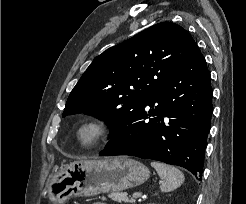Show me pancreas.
Instances as JSON below:
<instances>
[{"instance_id":"cf45deb5","label":"pancreas","mask_w":246,"mask_h":204,"mask_svg":"<svg viewBox=\"0 0 246 204\" xmlns=\"http://www.w3.org/2000/svg\"><path fill=\"white\" fill-rule=\"evenodd\" d=\"M109 197L116 201V202H125V203H128V202H132L131 200L128 199L127 197V193H123V192H112L109 194Z\"/></svg>"}]
</instances>
